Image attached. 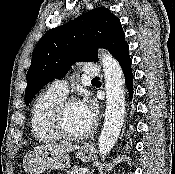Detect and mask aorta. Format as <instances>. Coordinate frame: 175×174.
Returning a JSON list of instances; mask_svg holds the SVG:
<instances>
[{
	"mask_svg": "<svg viewBox=\"0 0 175 174\" xmlns=\"http://www.w3.org/2000/svg\"><path fill=\"white\" fill-rule=\"evenodd\" d=\"M106 91L105 120L98 139L99 154L104 158L114 146L125 117L123 73L118 61L108 52H100Z\"/></svg>",
	"mask_w": 175,
	"mask_h": 174,
	"instance_id": "aorta-1",
	"label": "aorta"
}]
</instances>
